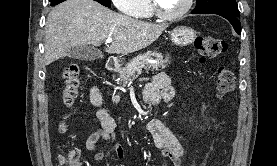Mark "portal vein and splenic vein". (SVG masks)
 <instances>
[{
  "label": "portal vein and splenic vein",
  "instance_id": "obj_1",
  "mask_svg": "<svg viewBox=\"0 0 277 166\" xmlns=\"http://www.w3.org/2000/svg\"><path fill=\"white\" fill-rule=\"evenodd\" d=\"M112 42H113V39H112V38L109 37V38L106 39V43H107V44L112 43Z\"/></svg>",
  "mask_w": 277,
  "mask_h": 166
}]
</instances>
